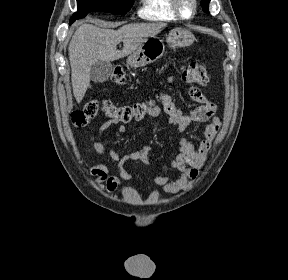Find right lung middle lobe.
I'll use <instances>...</instances> for the list:
<instances>
[{"label":"right lung middle lobe","mask_w":288,"mask_h":280,"mask_svg":"<svg viewBox=\"0 0 288 280\" xmlns=\"http://www.w3.org/2000/svg\"><path fill=\"white\" fill-rule=\"evenodd\" d=\"M132 3L133 0H77L78 10L73 14L70 21L74 22L93 11L123 15L130 10Z\"/></svg>","instance_id":"obj_1"}]
</instances>
